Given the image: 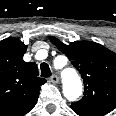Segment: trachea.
I'll list each match as a JSON object with an SVG mask.
<instances>
[{
  "mask_svg": "<svg viewBox=\"0 0 116 116\" xmlns=\"http://www.w3.org/2000/svg\"><path fill=\"white\" fill-rule=\"evenodd\" d=\"M40 69H41V77L46 78V77H50L52 75L51 70L47 63H45V62L41 63Z\"/></svg>",
  "mask_w": 116,
  "mask_h": 116,
  "instance_id": "3493384b",
  "label": "trachea"
}]
</instances>
